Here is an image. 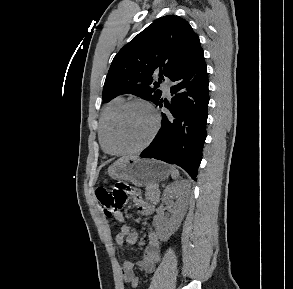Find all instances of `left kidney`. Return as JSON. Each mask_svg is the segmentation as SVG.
<instances>
[{
    "label": "left kidney",
    "mask_w": 293,
    "mask_h": 289,
    "mask_svg": "<svg viewBox=\"0 0 293 289\" xmlns=\"http://www.w3.org/2000/svg\"><path fill=\"white\" fill-rule=\"evenodd\" d=\"M189 187L188 180H181L170 184L164 190L162 201L171 209L172 217L165 224H160L158 217H154L155 229L161 240L167 241L180 226L187 209V193ZM174 199H176L175 202Z\"/></svg>",
    "instance_id": "1"
}]
</instances>
